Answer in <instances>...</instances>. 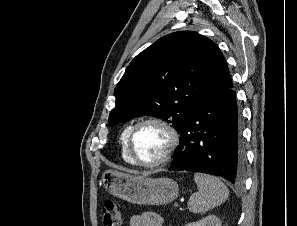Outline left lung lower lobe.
<instances>
[{
	"label": "left lung lower lobe",
	"instance_id": "left-lung-lower-lobe-1",
	"mask_svg": "<svg viewBox=\"0 0 297 226\" xmlns=\"http://www.w3.org/2000/svg\"><path fill=\"white\" fill-rule=\"evenodd\" d=\"M210 90L183 122L180 145L169 170H188L221 176L239 184L244 174L235 92Z\"/></svg>",
	"mask_w": 297,
	"mask_h": 226
}]
</instances>
